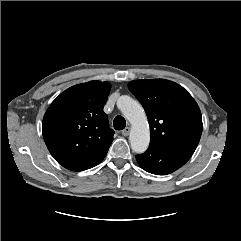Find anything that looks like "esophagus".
Wrapping results in <instances>:
<instances>
[{
	"instance_id": "esophagus-1",
	"label": "esophagus",
	"mask_w": 241,
	"mask_h": 241,
	"mask_svg": "<svg viewBox=\"0 0 241 241\" xmlns=\"http://www.w3.org/2000/svg\"><path fill=\"white\" fill-rule=\"evenodd\" d=\"M130 133V127H126L124 130H122V135L123 136H128Z\"/></svg>"
}]
</instances>
